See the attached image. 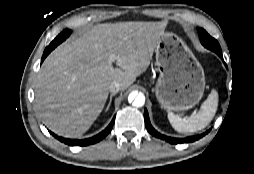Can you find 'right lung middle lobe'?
I'll return each mask as SVG.
<instances>
[{
	"mask_svg": "<svg viewBox=\"0 0 254 174\" xmlns=\"http://www.w3.org/2000/svg\"><path fill=\"white\" fill-rule=\"evenodd\" d=\"M63 32H64V33H68V34L71 33V31H70L69 29H65ZM63 32H62V33H63Z\"/></svg>",
	"mask_w": 254,
	"mask_h": 174,
	"instance_id": "right-lung-middle-lobe-1",
	"label": "right lung middle lobe"
}]
</instances>
